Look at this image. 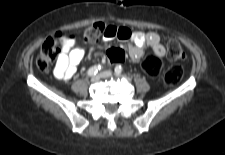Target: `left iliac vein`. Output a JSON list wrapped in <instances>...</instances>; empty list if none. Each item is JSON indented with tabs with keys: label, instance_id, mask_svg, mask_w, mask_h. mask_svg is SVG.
I'll use <instances>...</instances> for the list:
<instances>
[{
	"label": "left iliac vein",
	"instance_id": "4c4485c4",
	"mask_svg": "<svg viewBox=\"0 0 225 155\" xmlns=\"http://www.w3.org/2000/svg\"><path fill=\"white\" fill-rule=\"evenodd\" d=\"M100 76L102 78H108V77L112 76V73L110 71H103V72L100 73Z\"/></svg>",
	"mask_w": 225,
	"mask_h": 155
}]
</instances>
